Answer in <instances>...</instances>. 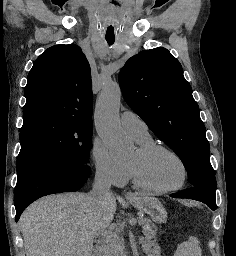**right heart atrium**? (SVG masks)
<instances>
[{"mask_svg": "<svg viewBox=\"0 0 236 256\" xmlns=\"http://www.w3.org/2000/svg\"><path fill=\"white\" fill-rule=\"evenodd\" d=\"M91 159L96 175L100 179L118 188H122L128 183L130 179L128 165L117 162L105 144L98 139L93 141Z\"/></svg>", "mask_w": 236, "mask_h": 256, "instance_id": "1", "label": "right heart atrium"}]
</instances>
